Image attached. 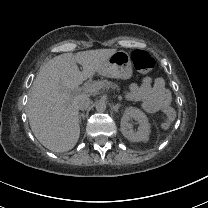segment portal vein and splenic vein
<instances>
[{
  "label": "portal vein and splenic vein",
  "instance_id": "1",
  "mask_svg": "<svg viewBox=\"0 0 208 208\" xmlns=\"http://www.w3.org/2000/svg\"><path fill=\"white\" fill-rule=\"evenodd\" d=\"M110 88L111 90H115V92H118V87L115 86L113 83H105V82H94L93 84L90 85H86L83 87V89H75V91L77 90H84V91H88L89 93H93V92H97L99 89L104 88V87Z\"/></svg>",
  "mask_w": 208,
  "mask_h": 208
}]
</instances>
